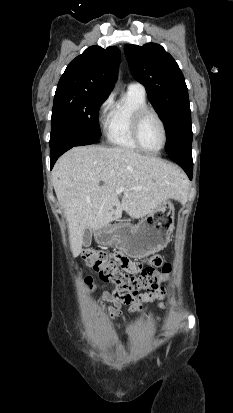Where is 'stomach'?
Listing matches in <instances>:
<instances>
[{
  "mask_svg": "<svg viewBox=\"0 0 233 413\" xmlns=\"http://www.w3.org/2000/svg\"><path fill=\"white\" fill-rule=\"evenodd\" d=\"M174 206L167 200L150 212L136 226L108 224L95 231L98 244L115 245L126 255L147 257L162 250L174 228Z\"/></svg>",
  "mask_w": 233,
  "mask_h": 413,
  "instance_id": "1",
  "label": "stomach"
}]
</instances>
